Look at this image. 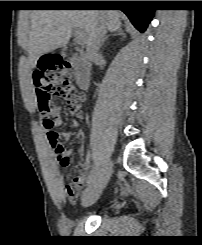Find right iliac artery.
<instances>
[{"instance_id": "82829eb1", "label": "right iliac artery", "mask_w": 202, "mask_h": 245, "mask_svg": "<svg viewBox=\"0 0 202 245\" xmlns=\"http://www.w3.org/2000/svg\"><path fill=\"white\" fill-rule=\"evenodd\" d=\"M100 167H101V163H97L96 166L93 169V175L87 181L88 184H90L91 182H93L95 180L97 174L100 171Z\"/></svg>"}]
</instances>
